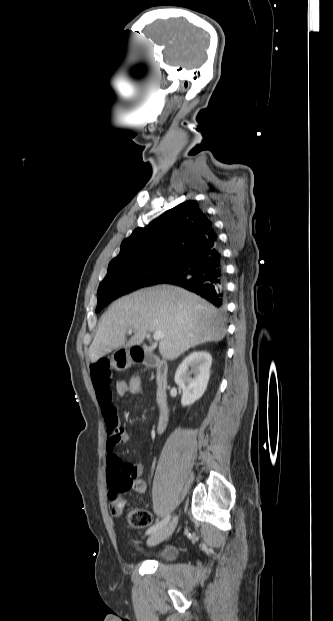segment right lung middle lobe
Returning <instances> with one entry per match:
<instances>
[{
  "label": "right lung middle lobe",
  "instance_id": "dd1d6c3e",
  "mask_svg": "<svg viewBox=\"0 0 333 621\" xmlns=\"http://www.w3.org/2000/svg\"><path fill=\"white\" fill-rule=\"evenodd\" d=\"M182 262L179 257H160L109 264L107 275L97 292L96 312L122 295L161 283L176 273Z\"/></svg>",
  "mask_w": 333,
  "mask_h": 621
}]
</instances>
